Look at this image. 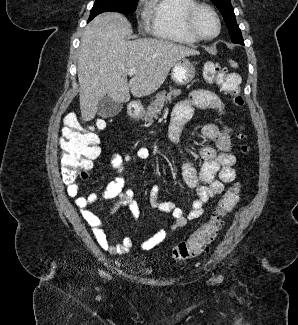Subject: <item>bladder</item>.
<instances>
[{
  "label": "bladder",
  "instance_id": "bladder-1",
  "mask_svg": "<svg viewBox=\"0 0 298 325\" xmlns=\"http://www.w3.org/2000/svg\"><path fill=\"white\" fill-rule=\"evenodd\" d=\"M138 272L144 273V274H149V272L146 269H143V268L138 269Z\"/></svg>",
  "mask_w": 298,
  "mask_h": 325
}]
</instances>
